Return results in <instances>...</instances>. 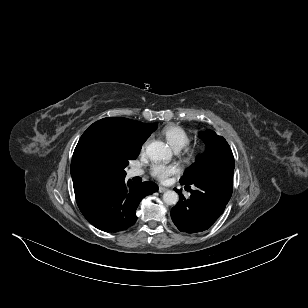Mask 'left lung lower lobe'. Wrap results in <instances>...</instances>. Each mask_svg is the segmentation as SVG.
Listing matches in <instances>:
<instances>
[{
  "label": "left lung lower lobe",
  "instance_id": "0a47b994",
  "mask_svg": "<svg viewBox=\"0 0 308 308\" xmlns=\"http://www.w3.org/2000/svg\"><path fill=\"white\" fill-rule=\"evenodd\" d=\"M233 170L221 168L201 176L191 183L198 189L190 191L189 199L184 198L181 190L175 189L180 199L171 210V218L180 231L202 232L218 219L232 195Z\"/></svg>",
  "mask_w": 308,
  "mask_h": 308
}]
</instances>
